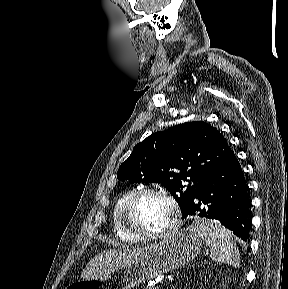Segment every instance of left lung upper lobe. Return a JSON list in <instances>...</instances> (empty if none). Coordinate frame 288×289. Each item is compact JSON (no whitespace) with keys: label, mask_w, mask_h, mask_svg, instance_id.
Here are the masks:
<instances>
[{"label":"left lung upper lobe","mask_w":288,"mask_h":289,"mask_svg":"<svg viewBox=\"0 0 288 289\" xmlns=\"http://www.w3.org/2000/svg\"><path fill=\"white\" fill-rule=\"evenodd\" d=\"M229 148L224 136L210 124L187 122L153 133L137 144L117 177L131 183H161L183 212Z\"/></svg>","instance_id":"5c2ea615"}]
</instances>
